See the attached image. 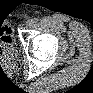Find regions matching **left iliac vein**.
Wrapping results in <instances>:
<instances>
[{
    "instance_id": "left-iliac-vein-1",
    "label": "left iliac vein",
    "mask_w": 93,
    "mask_h": 93,
    "mask_svg": "<svg viewBox=\"0 0 93 93\" xmlns=\"http://www.w3.org/2000/svg\"><path fill=\"white\" fill-rule=\"evenodd\" d=\"M33 24V20L32 19H28L27 21H26V25L27 26H31Z\"/></svg>"
}]
</instances>
